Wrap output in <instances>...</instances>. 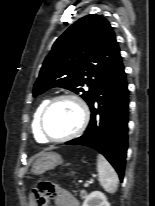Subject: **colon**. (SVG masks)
Here are the masks:
<instances>
[{"instance_id":"colon-1","label":"colon","mask_w":155,"mask_h":206,"mask_svg":"<svg viewBox=\"0 0 155 206\" xmlns=\"http://www.w3.org/2000/svg\"><path fill=\"white\" fill-rule=\"evenodd\" d=\"M54 185L48 180H43L32 190V195L35 197L39 206L47 204L50 194L53 192Z\"/></svg>"}]
</instances>
